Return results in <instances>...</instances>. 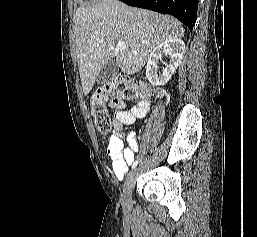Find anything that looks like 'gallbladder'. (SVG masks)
<instances>
[{
	"instance_id": "1",
	"label": "gallbladder",
	"mask_w": 257,
	"mask_h": 237,
	"mask_svg": "<svg viewBox=\"0 0 257 237\" xmlns=\"http://www.w3.org/2000/svg\"><path fill=\"white\" fill-rule=\"evenodd\" d=\"M119 67L115 63V61L108 62L100 71V73L97 76V83L98 85H103L110 80H112L115 75L118 73Z\"/></svg>"
}]
</instances>
